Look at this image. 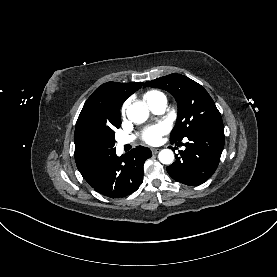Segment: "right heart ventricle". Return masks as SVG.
<instances>
[{
	"instance_id": "right-heart-ventricle-1",
	"label": "right heart ventricle",
	"mask_w": 277,
	"mask_h": 277,
	"mask_svg": "<svg viewBox=\"0 0 277 277\" xmlns=\"http://www.w3.org/2000/svg\"><path fill=\"white\" fill-rule=\"evenodd\" d=\"M159 98H165V96L159 91H149V92L145 93V95H144V99L147 102V104H149Z\"/></svg>"
}]
</instances>
